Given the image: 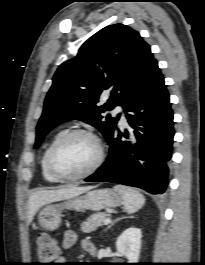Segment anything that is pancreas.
<instances>
[{
  "instance_id": "obj_1",
  "label": "pancreas",
  "mask_w": 205,
  "mask_h": 265,
  "mask_svg": "<svg viewBox=\"0 0 205 265\" xmlns=\"http://www.w3.org/2000/svg\"><path fill=\"white\" fill-rule=\"evenodd\" d=\"M107 218L106 213H96L90 215L86 221L81 224V231L84 233H90L95 231L103 224V221Z\"/></svg>"
}]
</instances>
